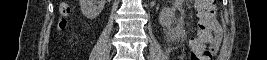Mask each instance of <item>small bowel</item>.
<instances>
[{"mask_svg":"<svg viewBox=\"0 0 267 60\" xmlns=\"http://www.w3.org/2000/svg\"><path fill=\"white\" fill-rule=\"evenodd\" d=\"M207 43L213 50V54L217 53L221 43V29L216 21L207 33Z\"/></svg>","mask_w":267,"mask_h":60,"instance_id":"1","label":"small bowel"}]
</instances>
